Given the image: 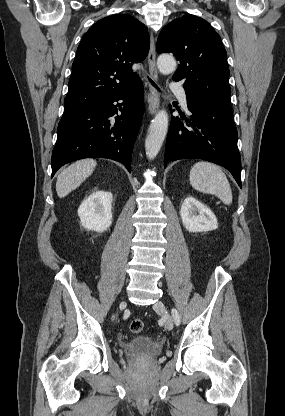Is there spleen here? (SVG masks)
Masks as SVG:
<instances>
[{
    "mask_svg": "<svg viewBox=\"0 0 285 416\" xmlns=\"http://www.w3.org/2000/svg\"><path fill=\"white\" fill-rule=\"evenodd\" d=\"M189 180L194 190L203 194H214L226 206L232 204L230 184L218 166L208 164V162H197L190 170Z\"/></svg>",
    "mask_w": 285,
    "mask_h": 416,
    "instance_id": "obj_1",
    "label": "spleen"
}]
</instances>
